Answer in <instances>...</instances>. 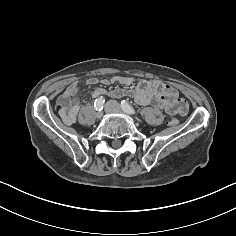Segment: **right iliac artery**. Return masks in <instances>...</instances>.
Returning a JSON list of instances; mask_svg holds the SVG:
<instances>
[{
  "mask_svg": "<svg viewBox=\"0 0 236 236\" xmlns=\"http://www.w3.org/2000/svg\"><path fill=\"white\" fill-rule=\"evenodd\" d=\"M104 98L101 96L99 98H97L94 102V107L97 111H101L104 107Z\"/></svg>",
  "mask_w": 236,
  "mask_h": 236,
  "instance_id": "obj_1",
  "label": "right iliac artery"
}]
</instances>
